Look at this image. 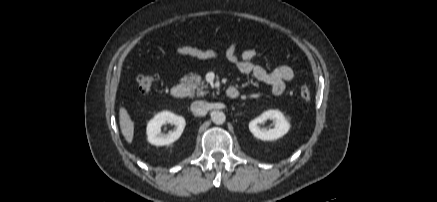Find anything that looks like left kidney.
<instances>
[{"mask_svg":"<svg viewBox=\"0 0 437 202\" xmlns=\"http://www.w3.org/2000/svg\"><path fill=\"white\" fill-rule=\"evenodd\" d=\"M268 119L273 120V128H260L259 125L266 122ZM290 129V124L284 115L278 110H268L263 112L260 116L253 119L249 123L250 132L261 140H276L284 136Z\"/></svg>","mask_w":437,"mask_h":202,"instance_id":"5707ae66","label":"left kidney"}]
</instances>
